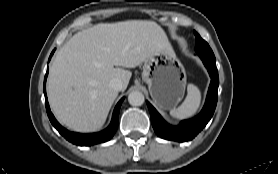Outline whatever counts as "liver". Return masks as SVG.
Returning a JSON list of instances; mask_svg holds the SVG:
<instances>
[{
	"instance_id": "6515ba94",
	"label": "liver",
	"mask_w": 278,
	"mask_h": 174,
	"mask_svg": "<svg viewBox=\"0 0 278 174\" xmlns=\"http://www.w3.org/2000/svg\"><path fill=\"white\" fill-rule=\"evenodd\" d=\"M164 30L154 21L101 23L76 33L58 51L49 71L47 94L56 118L69 129H100L118 91L114 78L128 86L135 68L149 56L170 49Z\"/></svg>"
}]
</instances>
